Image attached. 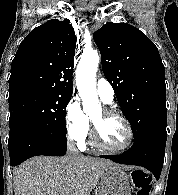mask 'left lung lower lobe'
Here are the masks:
<instances>
[{
  "label": "left lung lower lobe",
  "mask_w": 178,
  "mask_h": 195,
  "mask_svg": "<svg viewBox=\"0 0 178 195\" xmlns=\"http://www.w3.org/2000/svg\"><path fill=\"white\" fill-rule=\"evenodd\" d=\"M166 136H157L142 141L116 156H101L120 164L143 166L159 179L165 156Z\"/></svg>",
  "instance_id": "0a47b994"
}]
</instances>
